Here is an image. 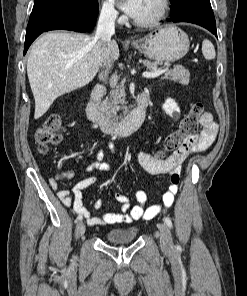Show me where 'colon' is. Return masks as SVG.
<instances>
[{"label": "colon", "instance_id": "colon-1", "mask_svg": "<svg viewBox=\"0 0 247 296\" xmlns=\"http://www.w3.org/2000/svg\"><path fill=\"white\" fill-rule=\"evenodd\" d=\"M203 114V105L195 102L188 113L181 120L179 127L168 134L164 139L162 149L157 153L158 159H163L166 154L176 151L184 139L193 135ZM63 121L61 116L54 115L48 118L44 125L35 134L38 150L41 154H46L51 146L57 145L62 140ZM180 176L174 175L172 182L179 184Z\"/></svg>", "mask_w": 247, "mask_h": 296}]
</instances>
